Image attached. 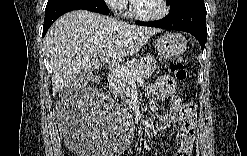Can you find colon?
<instances>
[{
    "label": "colon",
    "mask_w": 247,
    "mask_h": 156,
    "mask_svg": "<svg viewBox=\"0 0 247 156\" xmlns=\"http://www.w3.org/2000/svg\"><path fill=\"white\" fill-rule=\"evenodd\" d=\"M170 71L179 82H185L187 80V71L184 65V61L181 57L173 59L170 63ZM100 81L99 77H95L91 80L92 84H97Z\"/></svg>",
    "instance_id": "colon-1"
}]
</instances>
